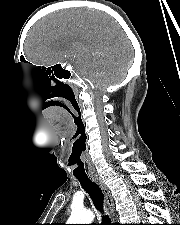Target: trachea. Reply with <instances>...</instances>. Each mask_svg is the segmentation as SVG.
I'll return each instance as SVG.
<instances>
[{"label": "trachea", "mask_w": 180, "mask_h": 225, "mask_svg": "<svg viewBox=\"0 0 180 225\" xmlns=\"http://www.w3.org/2000/svg\"><path fill=\"white\" fill-rule=\"evenodd\" d=\"M76 178L79 180L82 188L86 191V193L89 194L96 209L100 211V213L102 214V225H112L109 216L104 215L103 210L104 194L99 185L95 182H92L86 175L76 176Z\"/></svg>", "instance_id": "1"}]
</instances>
